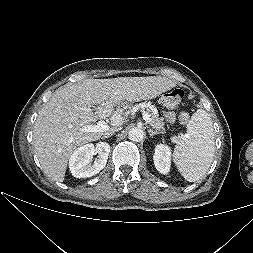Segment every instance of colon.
<instances>
[{"label": "colon", "mask_w": 253, "mask_h": 253, "mask_svg": "<svg viewBox=\"0 0 253 253\" xmlns=\"http://www.w3.org/2000/svg\"><path fill=\"white\" fill-rule=\"evenodd\" d=\"M184 96V92L181 89H176L170 94L166 95L163 98V102L167 105H173L181 101ZM179 120L182 124H186L189 120V114L185 111H182L179 115Z\"/></svg>", "instance_id": "colon-1"}]
</instances>
